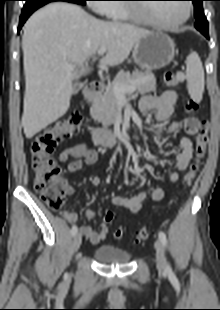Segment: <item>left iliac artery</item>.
I'll use <instances>...</instances> for the list:
<instances>
[{
    "label": "left iliac artery",
    "mask_w": 220,
    "mask_h": 310,
    "mask_svg": "<svg viewBox=\"0 0 220 310\" xmlns=\"http://www.w3.org/2000/svg\"><path fill=\"white\" fill-rule=\"evenodd\" d=\"M159 239H160L162 245L164 247H166L167 246V238H166V234L163 231L159 232ZM168 268L170 269V267H168Z\"/></svg>",
    "instance_id": "obj_1"
}]
</instances>
